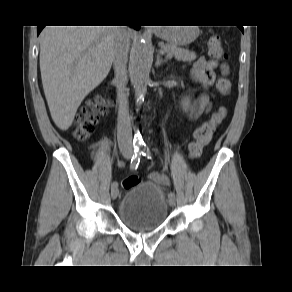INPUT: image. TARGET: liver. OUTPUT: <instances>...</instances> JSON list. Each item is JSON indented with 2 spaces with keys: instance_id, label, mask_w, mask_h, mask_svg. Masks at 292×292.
<instances>
[{
  "instance_id": "6515ba94",
  "label": "liver",
  "mask_w": 292,
  "mask_h": 292,
  "mask_svg": "<svg viewBox=\"0 0 292 292\" xmlns=\"http://www.w3.org/2000/svg\"><path fill=\"white\" fill-rule=\"evenodd\" d=\"M117 31L118 26H46L41 32L43 89L61 130L71 126L81 102L108 75Z\"/></svg>"
}]
</instances>
